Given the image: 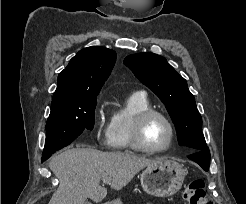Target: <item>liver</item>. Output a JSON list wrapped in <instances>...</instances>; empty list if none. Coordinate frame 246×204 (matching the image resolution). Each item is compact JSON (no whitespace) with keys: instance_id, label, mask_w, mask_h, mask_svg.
Segmentation results:
<instances>
[{"instance_id":"1","label":"liver","mask_w":246,"mask_h":204,"mask_svg":"<svg viewBox=\"0 0 246 204\" xmlns=\"http://www.w3.org/2000/svg\"><path fill=\"white\" fill-rule=\"evenodd\" d=\"M156 161L131 153L68 149L49 163L59 179V187L49 204H84L87 198L99 203L107 195V189L100 185L101 180L108 178L113 190H121L140 170Z\"/></svg>"}]
</instances>
